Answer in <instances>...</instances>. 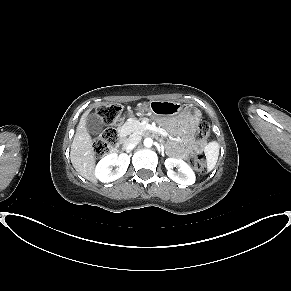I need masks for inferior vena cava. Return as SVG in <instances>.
Here are the masks:
<instances>
[{
  "label": "inferior vena cava",
  "instance_id": "obj_1",
  "mask_svg": "<svg viewBox=\"0 0 291 291\" xmlns=\"http://www.w3.org/2000/svg\"><path fill=\"white\" fill-rule=\"evenodd\" d=\"M139 141H140V138L130 139V141L126 145V149L128 151L132 150L135 146H137V144L139 143Z\"/></svg>",
  "mask_w": 291,
  "mask_h": 291
}]
</instances>
